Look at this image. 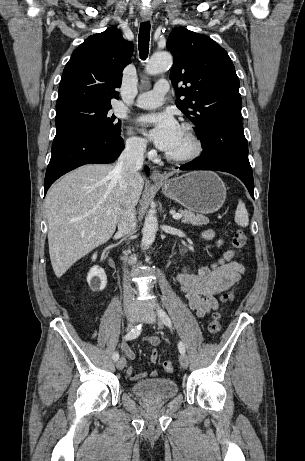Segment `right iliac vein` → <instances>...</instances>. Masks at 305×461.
Wrapping results in <instances>:
<instances>
[{
	"label": "right iliac vein",
	"mask_w": 305,
	"mask_h": 461,
	"mask_svg": "<svg viewBox=\"0 0 305 461\" xmlns=\"http://www.w3.org/2000/svg\"><path fill=\"white\" fill-rule=\"evenodd\" d=\"M126 319L129 323L130 326H133L138 320H139V315L135 308L130 307L126 309L125 311ZM126 365V360L124 357H121L117 362H116V367L118 369H123Z\"/></svg>",
	"instance_id": "1"
}]
</instances>
